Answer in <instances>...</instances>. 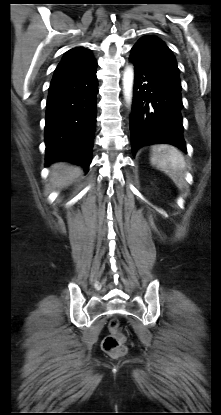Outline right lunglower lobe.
I'll return each instance as SVG.
<instances>
[{
    "label": "right lung lower lobe",
    "instance_id": "1",
    "mask_svg": "<svg viewBox=\"0 0 221 415\" xmlns=\"http://www.w3.org/2000/svg\"><path fill=\"white\" fill-rule=\"evenodd\" d=\"M96 68L54 74L46 105V165L68 161L88 170L97 116Z\"/></svg>",
    "mask_w": 221,
    "mask_h": 415
}]
</instances>
